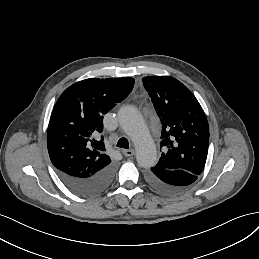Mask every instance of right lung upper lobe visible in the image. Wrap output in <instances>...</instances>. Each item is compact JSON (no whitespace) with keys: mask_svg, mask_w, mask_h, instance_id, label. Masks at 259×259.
<instances>
[{"mask_svg":"<svg viewBox=\"0 0 259 259\" xmlns=\"http://www.w3.org/2000/svg\"><path fill=\"white\" fill-rule=\"evenodd\" d=\"M134 79L90 78L67 88L56 102L47 131V148L55 168L89 177L111 163L105 152L103 115L123 101Z\"/></svg>","mask_w":259,"mask_h":259,"instance_id":"right-lung-upper-lobe-1","label":"right lung upper lobe"}]
</instances>
